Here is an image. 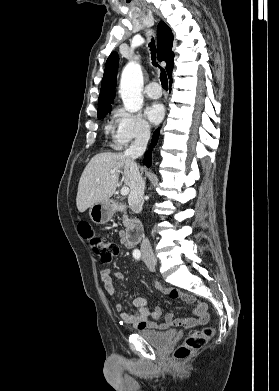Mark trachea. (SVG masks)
Wrapping results in <instances>:
<instances>
[{
    "mask_svg": "<svg viewBox=\"0 0 279 391\" xmlns=\"http://www.w3.org/2000/svg\"><path fill=\"white\" fill-rule=\"evenodd\" d=\"M149 47H150V50H151V58H152V64L155 66V67H159L160 70H161V73H160V81H161V84H162V87L164 89H168V79H167V74H166V71L161 68L158 63L156 62V46H155V42H154V39L151 40V42L149 43Z\"/></svg>",
    "mask_w": 279,
    "mask_h": 391,
    "instance_id": "obj_1",
    "label": "trachea"
}]
</instances>
